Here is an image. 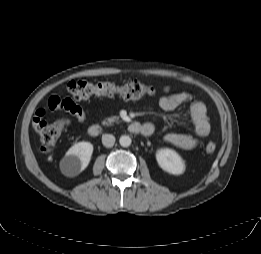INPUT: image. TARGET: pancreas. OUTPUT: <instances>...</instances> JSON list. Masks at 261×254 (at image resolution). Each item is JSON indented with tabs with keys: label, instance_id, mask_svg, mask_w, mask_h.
<instances>
[{
	"label": "pancreas",
	"instance_id": "obj_1",
	"mask_svg": "<svg viewBox=\"0 0 261 254\" xmlns=\"http://www.w3.org/2000/svg\"><path fill=\"white\" fill-rule=\"evenodd\" d=\"M118 121H119V118L116 117V116L108 117V118H105V119L102 121V125L111 126V125H113L115 122H118Z\"/></svg>",
	"mask_w": 261,
	"mask_h": 254
}]
</instances>
